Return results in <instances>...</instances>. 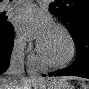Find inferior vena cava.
<instances>
[{
  "instance_id": "602c4592",
  "label": "inferior vena cava",
  "mask_w": 89,
  "mask_h": 89,
  "mask_svg": "<svg viewBox=\"0 0 89 89\" xmlns=\"http://www.w3.org/2000/svg\"><path fill=\"white\" fill-rule=\"evenodd\" d=\"M24 47L25 43L21 42L12 52L7 75L24 78Z\"/></svg>"
}]
</instances>
